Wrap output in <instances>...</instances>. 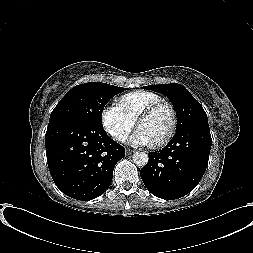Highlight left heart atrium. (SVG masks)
Segmentation results:
<instances>
[{"instance_id":"left-heart-atrium-1","label":"left heart atrium","mask_w":253,"mask_h":253,"mask_svg":"<svg viewBox=\"0 0 253 253\" xmlns=\"http://www.w3.org/2000/svg\"><path fill=\"white\" fill-rule=\"evenodd\" d=\"M129 142L135 146H147L153 144L149 136L142 130L138 129L130 138Z\"/></svg>"}]
</instances>
